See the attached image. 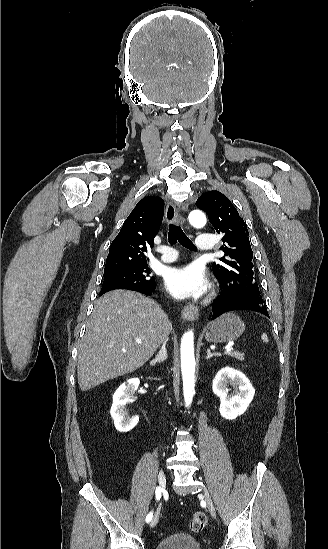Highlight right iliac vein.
I'll return each mask as SVG.
<instances>
[{
	"label": "right iliac vein",
	"mask_w": 328,
	"mask_h": 549,
	"mask_svg": "<svg viewBox=\"0 0 328 549\" xmlns=\"http://www.w3.org/2000/svg\"><path fill=\"white\" fill-rule=\"evenodd\" d=\"M158 481H159V484H160L161 488L163 490H165V488H166V476H165V474L162 470H160L159 473H158ZM158 521H159V514L156 513L154 515L151 523H150V527H152V528L155 527L157 525Z\"/></svg>",
	"instance_id": "1"
}]
</instances>
